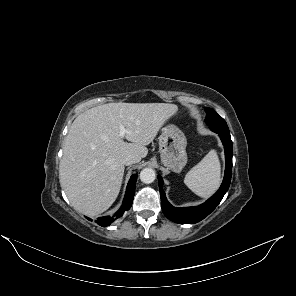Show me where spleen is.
Wrapping results in <instances>:
<instances>
[{
	"label": "spleen",
	"instance_id": "1",
	"mask_svg": "<svg viewBox=\"0 0 296 296\" xmlns=\"http://www.w3.org/2000/svg\"><path fill=\"white\" fill-rule=\"evenodd\" d=\"M218 155L211 150L185 175L184 183L196 195L207 198L218 188L221 176Z\"/></svg>",
	"mask_w": 296,
	"mask_h": 296
}]
</instances>
